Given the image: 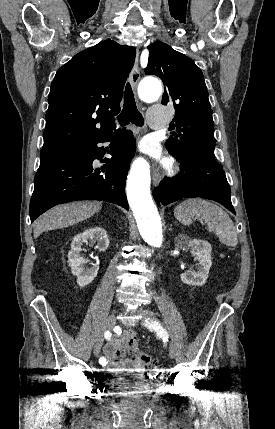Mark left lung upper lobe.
<instances>
[{
	"label": "left lung upper lobe",
	"instance_id": "1",
	"mask_svg": "<svg viewBox=\"0 0 275 429\" xmlns=\"http://www.w3.org/2000/svg\"><path fill=\"white\" fill-rule=\"evenodd\" d=\"M145 74L156 75L164 82L162 104L173 105L175 129L167 140L176 158L205 155L215 159L214 124L202 71L192 59L163 42L149 47Z\"/></svg>",
	"mask_w": 275,
	"mask_h": 429
}]
</instances>
